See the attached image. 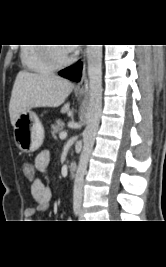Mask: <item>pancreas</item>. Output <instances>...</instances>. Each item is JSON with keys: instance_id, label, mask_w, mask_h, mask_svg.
<instances>
[{"instance_id": "cf45deb5", "label": "pancreas", "mask_w": 166, "mask_h": 267, "mask_svg": "<svg viewBox=\"0 0 166 267\" xmlns=\"http://www.w3.org/2000/svg\"><path fill=\"white\" fill-rule=\"evenodd\" d=\"M64 129V122L62 120L56 121L55 124L51 125V134L56 138V134L62 132Z\"/></svg>"}]
</instances>
